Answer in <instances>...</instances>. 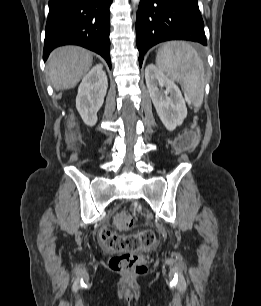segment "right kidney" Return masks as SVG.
<instances>
[{
	"label": "right kidney",
	"mask_w": 261,
	"mask_h": 306,
	"mask_svg": "<svg viewBox=\"0 0 261 306\" xmlns=\"http://www.w3.org/2000/svg\"><path fill=\"white\" fill-rule=\"evenodd\" d=\"M107 84L103 65L97 64L83 78L78 88L76 108L88 126H94L97 122V112L104 102Z\"/></svg>",
	"instance_id": "obj_1"
}]
</instances>
